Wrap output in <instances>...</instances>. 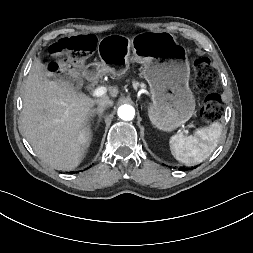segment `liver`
<instances>
[{
	"instance_id": "6515ba94",
	"label": "liver",
	"mask_w": 253,
	"mask_h": 253,
	"mask_svg": "<svg viewBox=\"0 0 253 253\" xmlns=\"http://www.w3.org/2000/svg\"><path fill=\"white\" fill-rule=\"evenodd\" d=\"M49 77L39 61L32 65L23 94L22 129L42 162L56 170L70 171L85 156L90 136L88 121L99 100L76 92L68 82ZM117 94L118 89L110 90L112 97Z\"/></svg>"
}]
</instances>
